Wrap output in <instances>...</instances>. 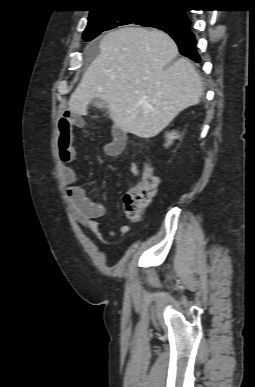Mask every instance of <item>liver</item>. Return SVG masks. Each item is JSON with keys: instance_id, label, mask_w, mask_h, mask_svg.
Listing matches in <instances>:
<instances>
[{"instance_id": "6515ba94", "label": "liver", "mask_w": 255, "mask_h": 387, "mask_svg": "<svg viewBox=\"0 0 255 387\" xmlns=\"http://www.w3.org/2000/svg\"><path fill=\"white\" fill-rule=\"evenodd\" d=\"M99 47L70 96L73 113L86 115L89 102L98 98L123 132L151 138L199 103L200 76L188 59L175 60L178 47L165 32L125 27L106 34Z\"/></svg>"}]
</instances>
